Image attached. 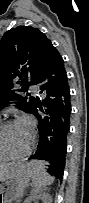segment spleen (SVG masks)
<instances>
[{
  "instance_id": "spleen-1",
  "label": "spleen",
  "mask_w": 89,
  "mask_h": 203,
  "mask_svg": "<svg viewBox=\"0 0 89 203\" xmlns=\"http://www.w3.org/2000/svg\"><path fill=\"white\" fill-rule=\"evenodd\" d=\"M41 165L42 164H38L30 170V175L32 176L35 184L48 183L53 180L51 176L44 172Z\"/></svg>"
}]
</instances>
